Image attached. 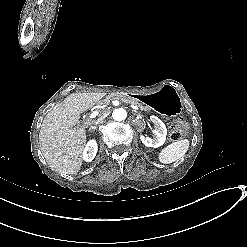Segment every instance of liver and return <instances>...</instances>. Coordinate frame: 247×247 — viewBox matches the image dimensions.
Here are the masks:
<instances>
[{"label":"liver","instance_id":"6515ba94","mask_svg":"<svg viewBox=\"0 0 247 247\" xmlns=\"http://www.w3.org/2000/svg\"><path fill=\"white\" fill-rule=\"evenodd\" d=\"M105 93L74 92L44 117L39 145L48 166L63 177L76 175L83 165L88 124L75 127L81 115L95 107Z\"/></svg>","mask_w":247,"mask_h":247}]
</instances>
